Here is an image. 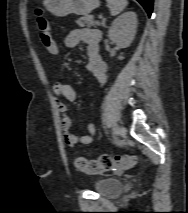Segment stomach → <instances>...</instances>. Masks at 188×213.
Wrapping results in <instances>:
<instances>
[{"instance_id": "obj_1", "label": "stomach", "mask_w": 188, "mask_h": 213, "mask_svg": "<svg viewBox=\"0 0 188 213\" xmlns=\"http://www.w3.org/2000/svg\"><path fill=\"white\" fill-rule=\"evenodd\" d=\"M43 6L58 17L71 13L85 16L99 6V0H44Z\"/></svg>"}]
</instances>
